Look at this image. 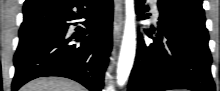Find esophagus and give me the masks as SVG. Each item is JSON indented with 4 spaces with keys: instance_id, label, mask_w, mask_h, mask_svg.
Instances as JSON below:
<instances>
[{
    "instance_id": "1",
    "label": "esophagus",
    "mask_w": 220,
    "mask_h": 91,
    "mask_svg": "<svg viewBox=\"0 0 220 91\" xmlns=\"http://www.w3.org/2000/svg\"><path fill=\"white\" fill-rule=\"evenodd\" d=\"M122 0H115L113 35L116 43L119 42L123 28Z\"/></svg>"
}]
</instances>
